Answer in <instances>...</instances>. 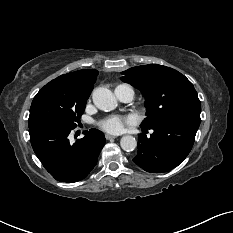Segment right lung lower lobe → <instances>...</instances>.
<instances>
[{
  "label": "right lung lower lobe",
  "instance_id": "1",
  "mask_svg": "<svg viewBox=\"0 0 233 233\" xmlns=\"http://www.w3.org/2000/svg\"><path fill=\"white\" fill-rule=\"evenodd\" d=\"M74 128L41 122L29 127L33 150L45 169L58 181L77 182L94 168L105 144L97 129L85 131V137L74 144L69 134Z\"/></svg>",
  "mask_w": 233,
  "mask_h": 233
}]
</instances>
